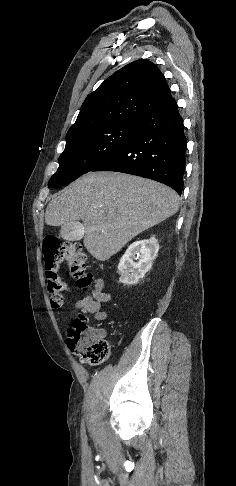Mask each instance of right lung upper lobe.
I'll list each match as a JSON object with an SVG mask.
<instances>
[{
  "label": "right lung upper lobe",
  "instance_id": "right-lung-upper-lobe-1",
  "mask_svg": "<svg viewBox=\"0 0 236 486\" xmlns=\"http://www.w3.org/2000/svg\"><path fill=\"white\" fill-rule=\"evenodd\" d=\"M176 104L164 75L148 60H136L106 79L83 102L66 138L115 124L137 123Z\"/></svg>",
  "mask_w": 236,
  "mask_h": 486
}]
</instances>
